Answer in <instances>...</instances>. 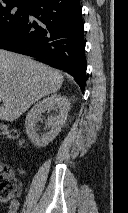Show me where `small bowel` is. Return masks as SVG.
Returning <instances> with one entry per match:
<instances>
[{
	"instance_id": "obj_1",
	"label": "small bowel",
	"mask_w": 128,
	"mask_h": 213,
	"mask_svg": "<svg viewBox=\"0 0 128 213\" xmlns=\"http://www.w3.org/2000/svg\"><path fill=\"white\" fill-rule=\"evenodd\" d=\"M19 209V202L17 200H12L9 203L8 212L7 213H17Z\"/></svg>"
}]
</instances>
